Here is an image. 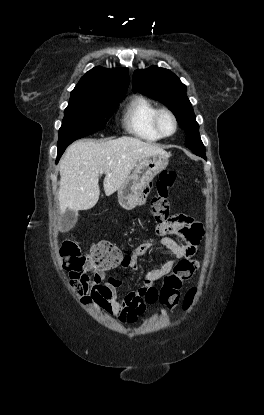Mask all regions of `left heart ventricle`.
<instances>
[{"label": "left heart ventricle", "mask_w": 264, "mask_h": 415, "mask_svg": "<svg viewBox=\"0 0 264 415\" xmlns=\"http://www.w3.org/2000/svg\"><path fill=\"white\" fill-rule=\"evenodd\" d=\"M160 128L166 134L171 133L173 131L174 124H173L171 117L168 114L161 115Z\"/></svg>", "instance_id": "b2bd125f"}]
</instances>
